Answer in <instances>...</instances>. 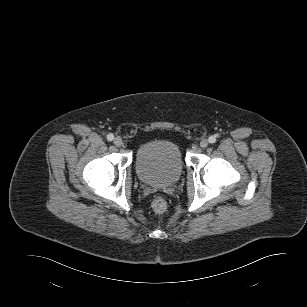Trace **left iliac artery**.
Returning a JSON list of instances; mask_svg holds the SVG:
<instances>
[{
    "label": "left iliac artery",
    "mask_w": 307,
    "mask_h": 307,
    "mask_svg": "<svg viewBox=\"0 0 307 307\" xmlns=\"http://www.w3.org/2000/svg\"><path fill=\"white\" fill-rule=\"evenodd\" d=\"M209 143H215L216 142V137L215 136H210L208 139Z\"/></svg>",
    "instance_id": "44dca946"
}]
</instances>
